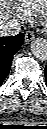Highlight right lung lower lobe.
Returning a JSON list of instances; mask_svg holds the SVG:
<instances>
[{
    "label": "right lung lower lobe",
    "instance_id": "right-lung-lower-lobe-1",
    "mask_svg": "<svg viewBox=\"0 0 47 129\" xmlns=\"http://www.w3.org/2000/svg\"><path fill=\"white\" fill-rule=\"evenodd\" d=\"M24 41V34L0 38V85L7 77L13 55L20 49Z\"/></svg>",
    "mask_w": 47,
    "mask_h": 129
}]
</instances>
